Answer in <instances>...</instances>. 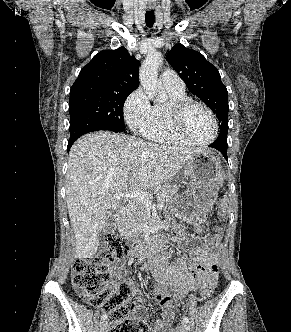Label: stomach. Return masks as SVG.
Segmentation results:
<instances>
[{
	"label": "stomach",
	"mask_w": 291,
	"mask_h": 332,
	"mask_svg": "<svg viewBox=\"0 0 291 332\" xmlns=\"http://www.w3.org/2000/svg\"><path fill=\"white\" fill-rule=\"evenodd\" d=\"M184 174L190 178L191 189L180 196L188 207L200 214L215 202L219 185L223 180L220 162L210 150L194 154L184 164Z\"/></svg>",
	"instance_id": "obj_1"
}]
</instances>
